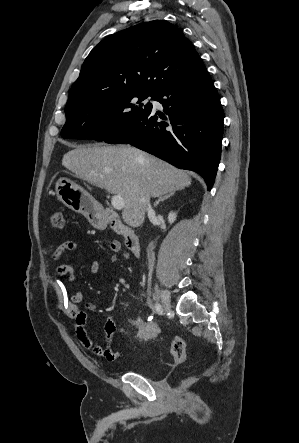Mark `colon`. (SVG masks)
Instances as JSON below:
<instances>
[{"label": "colon", "instance_id": "obj_1", "mask_svg": "<svg viewBox=\"0 0 299 443\" xmlns=\"http://www.w3.org/2000/svg\"><path fill=\"white\" fill-rule=\"evenodd\" d=\"M50 226L56 229H62L65 226L63 214L60 211H54L50 215ZM111 249L117 255L120 246L117 242L111 243ZM127 328L135 337L141 340H152L161 334V329L153 322L127 315ZM171 354L176 362L182 363L187 359L186 344L178 336L173 337L171 341Z\"/></svg>", "mask_w": 299, "mask_h": 443}]
</instances>
